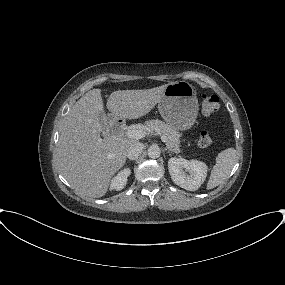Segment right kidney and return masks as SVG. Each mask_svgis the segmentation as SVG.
<instances>
[{"mask_svg": "<svg viewBox=\"0 0 285 285\" xmlns=\"http://www.w3.org/2000/svg\"><path fill=\"white\" fill-rule=\"evenodd\" d=\"M131 170L125 168L121 170L112 180L110 184V190H122L127 184V177L130 175Z\"/></svg>", "mask_w": 285, "mask_h": 285, "instance_id": "right-kidney-1", "label": "right kidney"}]
</instances>
